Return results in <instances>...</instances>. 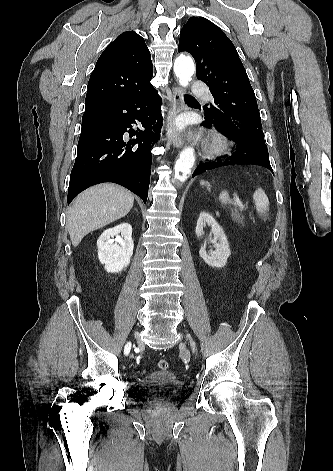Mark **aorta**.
Segmentation results:
<instances>
[{
    "instance_id": "aorta-1",
    "label": "aorta",
    "mask_w": 333,
    "mask_h": 471,
    "mask_svg": "<svg viewBox=\"0 0 333 471\" xmlns=\"http://www.w3.org/2000/svg\"><path fill=\"white\" fill-rule=\"evenodd\" d=\"M195 72L192 58L180 56L175 60L174 73L183 87H187L191 77ZM195 163V153L192 147H186L179 155L175 166V178L180 182H185L191 173V168Z\"/></svg>"
}]
</instances>
